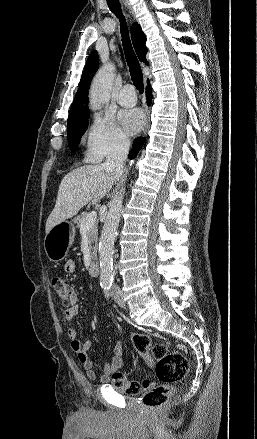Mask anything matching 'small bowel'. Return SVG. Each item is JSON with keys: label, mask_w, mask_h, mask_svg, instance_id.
I'll list each match as a JSON object with an SVG mask.
<instances>
[{"label": "small bowel", "mask_w": 257, "mask_h": 439, "mask_svg": "<svg viewBox=\"0 0 257 439\" xmlns=\"http://www.w3.org/2000/svg\"><path fill=\"white\" fill-rule=\"evenodd\" d=\"M64 273L70 275L75 271V263L72 260L66 261L63 267ZM78 296L73 292L70 305L66 308L64 315L65 319L72 322L79 313ZM68 336L71 339V349L76 355L78 361L81 363L86 371L87 377L90 380H97L98 375L95 370V363L89 356V349L91 342L89 340H81L78 337L77 329L74 325L68 327ZM124 345L121 341L116 342L112 356L110 359L103 363V374L100 377L101 382L108 383L117 374H121V370L126 365L124 356Z\"/></svg>", "instance_id": "1"}]
</instances>
